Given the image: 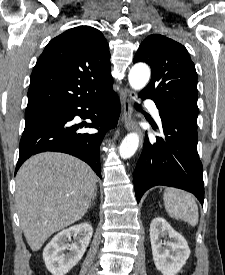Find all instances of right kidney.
I'll return each mask as SVG.
<instances>
[{
	"label": "right kidney",
	"instance_id": "ca27d5eb",
	"mask_svg": "<svg viewBox=\"0 0 225 275\" xmlns=\"http://www.w3.org/2000/svg\"><path fill=\"white\" fill-rule=\"evenodd\" d=\"M93 234L92 226L81 223L62 230L46 245L43 259L49 272L53 275H65L82 258ZM75 239L68 244L67 240ZM68 250L69 252L65 253Z\"/></svg>",
	"mask_w": 225,
	"mask_h": 275
}]
</instances>
